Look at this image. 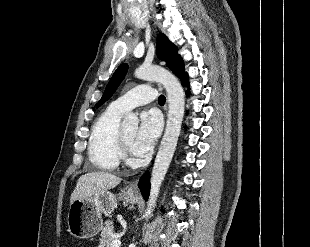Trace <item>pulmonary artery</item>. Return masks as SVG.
Returning a JSON list of instances; mask_svg holds the SVG:
<instances>
[{"mask_svg": "<svg viewBox=\"0 0 310 247\" xmlns=\"http://www.w3.org/2000/svg\"><path fill=\"white\" fill-rule=\"evenodd\" d=\"M157 97V91L150 85L136 86L117 98L111 105L121 112H127L137 106L152 102Z\"/></svg>", "mask_w": 310, "mask_h": 247, "instance_id": "obj_1", "label": "pulmonary artery"}]
</instances>
